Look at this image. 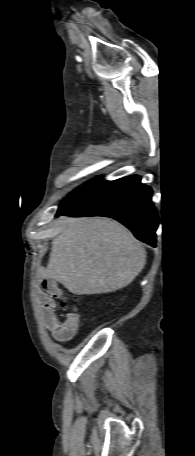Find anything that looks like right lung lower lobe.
<instances>
[{
	"instance_id": "right-lung-lower-lobe-1",
	"label": "right lung lower lobe",
	"mask_w": 195,
	"mask_h": 456,
	"mask_svg": "<svg viewBox=\"0 0 195 456\" xmlns=\"http://www.w3.org/2000/svg\"><path fill=\"white\" fill-rule=\"evenodd\" d=\"M152 190L141 184L137 175L110 182L97 194L78 206L57 213L68 216H106L128 227L135 237L156 246L159 218L151 201Z\"/></svg>"
}]
</instances>
